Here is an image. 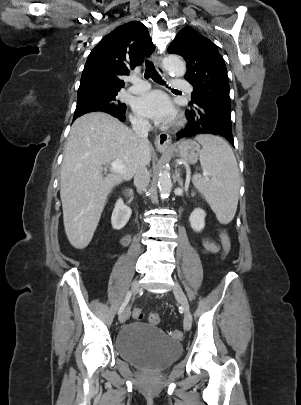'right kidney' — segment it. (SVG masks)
Returning a JSON list of instances; mask_svg holds the SVG:
<instances>
[{
    "instance_id": "right-kidney-1",
    "label": "right kidney",
    "mask_w": 301,
    "mask_h": 405,
    "mask_svg": "<svg viewBox=\"0 0 301 405\" xmlns=\"http://www.w3.org/2000/svg\"><path fill=\"white\" fill-rule=\"evenodd\" d=\"M132 214L130 207L124 204L123 200L119 198L116 203L111 216V224L115 230L122 229L129 221Z\"/></svg>"
}]
</instances>
